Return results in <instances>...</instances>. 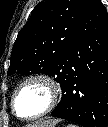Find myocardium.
I'll return each instance as SVG.
<instances>
[{
    "label": "myocardium",
    "mask_w": 108,
    "mask_h": 127,
    "mask_svg": "<svg viewBox=\"0 0 108 127\" xmlns=\"http://www.w3.org/2000/svg\"><path fill=\"white\" fill-rule=\"evenodd\" d=\"M33 83L41 84L47 89L48 96H49L48 103L41 112L33 116L23 117L19 115L16 110V98L22 89H24L26 86ZM60 95H61L60 86L58 82L52 76L46 73L32 74L26 77L24 80H22L19 83V85L16 87V89L14 90L11 97V108L13 113L21 120H24V121L36 120L50 113L57 106L60 99Z\"/></svg>",
    "instance_id": "obj_1"
}]
</instances>
